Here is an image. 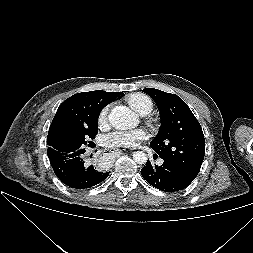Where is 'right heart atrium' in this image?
Returning <instances> with one entry per match:
<instances>
[{
    "mask_svg": "<svg viewBox=\"0 0 253 253\" xmlns=\"http://www.w3.org/2000/svg\"><path fill=\"white\" fill-rule=\"evenodd\" d=\"M108 107H105L101 110L99 116H98V122L99 124H103L106 122L107 117H108Z\"/></svg>",
    "mask_w": 253,
    "mask_h": 253,
    "instance_id": "right-heart-atrium-1",
    "label": "right heart atrium"
}]
</instances>
